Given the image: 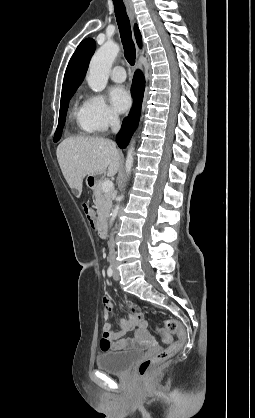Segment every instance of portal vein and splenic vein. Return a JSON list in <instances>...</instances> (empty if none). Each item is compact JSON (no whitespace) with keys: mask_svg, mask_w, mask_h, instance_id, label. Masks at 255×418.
<instances>
[{"mask_svg":"<svg viewBox=\"0 0 255 418\" xmlns=\"http://www.w3.org/2000/svg\"><path fill=\"white\" fill-rule=\"evenodd\" d=\"M113 189V182L110 180H105L102 184V190L104 192H109Z\"/></svg>","mask_w":255,"mask_h":418,"instance_id":"18ae733b","label":"portal vein and splenic vein"}]
</instances>
